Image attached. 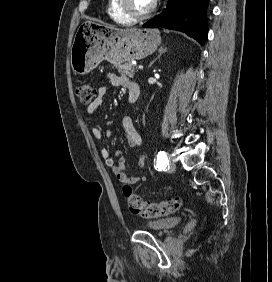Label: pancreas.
Here are the masks:
<instances>
[{"label": "pancreas", "mask_w": 272, "mask_h": 282, "mask_svg": "<svg viewBox=\"0 0 272 282\" xmlns=\"http://www.w3.org/2000/svg\"><path fill=\"white\" fill-rule=\"evenodd\" d=\"M116 69L122 76H129L133 77L135 72L137 71V68L132 63H124V64H118L116 65Z\"/></svg>", "instance_id": "obj_1"}]
</instances>
